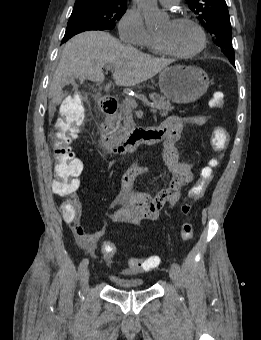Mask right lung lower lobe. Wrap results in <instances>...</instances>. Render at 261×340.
Returning a JSON list of instances; mask_svg holds the SVG:
<instances>
[{
  "label": "right lung lower lobe",
  "mask_w": 261,
  "mask_h": 340,
  "mask_svg": "<svg viewBox=\"0 0 261 340\" xmlns=\"http://www.w3.org/2000/svg\"><path fill=\"white\" fill-rule=\"evenodd\" d=\"M88 30H100L99 28L90 25V24H86V23H74V24H70L67 26L66 28V32L65 35L62 39V43L66 42L68 39H70L72 36L83 32V31H88Z\"/></svg>",
  "instance_id": "1"
}]
</instances>
